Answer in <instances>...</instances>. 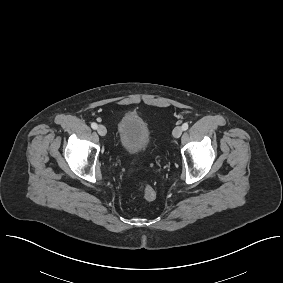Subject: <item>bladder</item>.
<instances>
[{
  "instance_id": "bladder-1",
  "label": "bladder",
  "mask_w": 283,
  "mask_h": 283,
  "mask_svg": "<svg viewBox=\"0 0 283 283\" xmlns=\"http://www.w3.org/2000/svg\"><path fill=\"white\" fill-rule=\"evenodd\" d=\"M118 143L123 152L137 155L150 143V128L147 122L136 113H126L117 127Z\"/></svg>"
}]
</instances>
